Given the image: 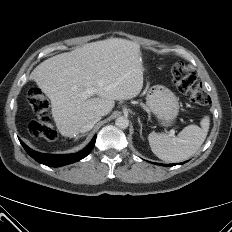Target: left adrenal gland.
<instances>
[{
    "label": "left adrenal gland",
    "instance_id": "1",
    "mask_svg": "<svg viewBox=\"0 0 232 232\" xmlns=\"http://www.w3.org/2000/svg\"><path fill=\"white\" fill-rule=\"evenodd\" d=\"M138 123H139V126H140V137L143 138V137H142V123H141L139 117H138Z\"/></svg>",
    "mask_w": 232,
    "mask_h": 232
}]
</instances>
